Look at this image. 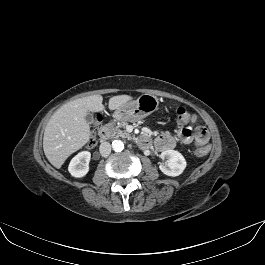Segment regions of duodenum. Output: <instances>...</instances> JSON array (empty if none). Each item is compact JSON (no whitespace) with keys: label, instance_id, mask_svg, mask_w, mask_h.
I'll return each mask as SVG.
<instances>
[{"label":"duodenum","instance_id":"duodenum-1","mask_svg":"<svg viewBox=\"0 0 265 265\" xmlns=\"http://www.w3.org/2000/svg\"><path fill=\"white\" fill-rule=\"evenodd\" d=\"M113 121H109L103 125L99 130V136L101 140L105 141L112 133ZM138 143L142 147H148L150 145V138L148 135L144 134L138 138Z\"/></svg>","mask_w":265,"mask_h":265}]
</instances>
